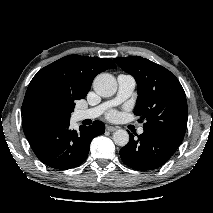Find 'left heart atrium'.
Wrapping results in <instances>:
<instances>
[{"label": "left heart atrium", "instance_id": "1", "mask_svg": "<svg viewBox=\"0 0 213 213\" xmlns=\"http://www.w3.org/2000/svg\"><path fill=\"white\" fill-rule=\"evenodd\" d=\"M109 117H110V118H113V117H114V113H110V114H109Z\"/></svg>", "mask_w": 213, "mask_h": 213}]
</instances>
